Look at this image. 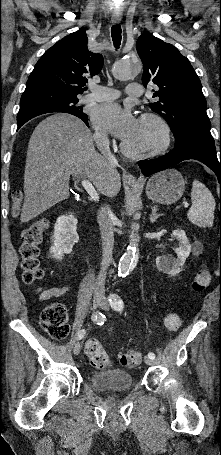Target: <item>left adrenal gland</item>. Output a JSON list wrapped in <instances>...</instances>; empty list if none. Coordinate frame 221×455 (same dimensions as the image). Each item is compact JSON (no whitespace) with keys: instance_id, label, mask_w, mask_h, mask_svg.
I'll list each match as a JSON object with an SVG mask.
<instances>
[{"instance_id":"1","label":"left adrenal gland","mask_w":221,"mask_h":455,"mask_svg":"<svg viewBox=\"0 0 221 455\" xmlns=\"http://www.w3.org/2000/svg\"><path fill=\"white\" fill-rule=\"evenodd\" d=\"M160 216H162V214H158V213H157V207H156V206L152 207V208H151V215H150V222H152V223L156 222V220H157Z\"/></svg>"}]
</instances>
